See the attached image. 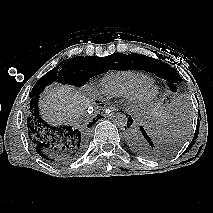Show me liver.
Segmentation results:
<instances>
[{
    "label": "liver",
    "mask_w": 213,
    "mask_h": 213,
    "mask_svg": "<svg viewBox=\"0 0 213 213\" xmlns=\"http://www.w3.org/2000/svg\"><path fill=\"white\" fill-rule=\"evenodd\" d=\"M89 104L90 101L73 87L56 85L45 92L40 107L49 122L72 124Z\"/></svg>",
    "instance_id": "1"
}]
</instances>
